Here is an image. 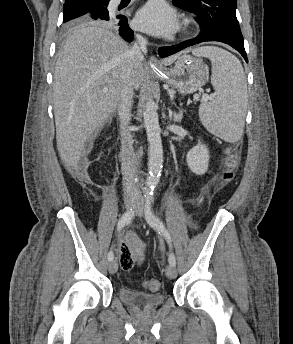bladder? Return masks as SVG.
<instances>
[{"label":"bladder","mask_w":293,"mask_h":344,"mask_svg":"<svg viewBox=\"0 0 293 344\" xmlns=\"http://www.w3.org/2000/svg\"><path fill=\"white\" fill-rule=\"evenodd\" d=\"M120 300L140 311L154 310L165 302V295L160 292L147 293L127 287L119 289Z\"/></svg>","instance_id":"31cf9c89"}]
</instances>
